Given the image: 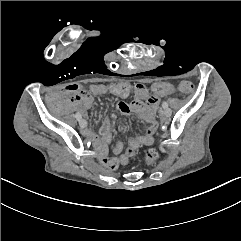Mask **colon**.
Masks as SVG:
<instances>
[{"label":"colon","mask_w":241,"mask_h":241,"mask_svg":"<svg viewBox=\"0 0 241 241\" xmlns=\"http://www.w3.org/2000/svg\"><path fill=\"white\" fill-rule=\"evenodd\" d=\"M128 80L127 79H114L110 84V93H114L115 97L121 98L127 92ZM166 84L164 82H156L152 85L151 90L155 94H163L166 91ZM195 89L194 84L190 82H180L178 90L182 93H191ZM145 157L151 161L149 164L152 166L159 159V153L154 148H146Z\"/></svg>","instance_id":"1"}]
</instances>
